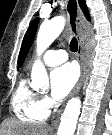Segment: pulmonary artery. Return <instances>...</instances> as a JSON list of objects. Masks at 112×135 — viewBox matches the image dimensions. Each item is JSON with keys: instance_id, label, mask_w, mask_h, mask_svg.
<instances>
[{"instance_id": "1", "label": "pulmonary artery", "mask_w": 112, "mask_h": 135, "mask_svg": "<svg viewBox=\"0 0 112 135\" xmlns=\"http://www.w3.org/2000/svg\"><path fill=\"white\" fill-rule=\"evenodd\" d=\"M67 60V53L62 48H52L45 52L42 61L48 66H56Z\"/></svg>"}]
</instances>
